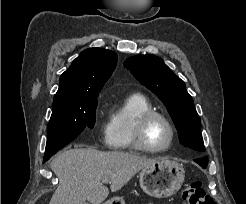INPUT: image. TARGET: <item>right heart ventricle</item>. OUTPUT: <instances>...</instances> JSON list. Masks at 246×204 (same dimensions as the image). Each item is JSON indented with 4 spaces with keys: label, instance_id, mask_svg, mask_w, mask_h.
I'll list each match as a JSON object with an SVG mask.
<instances>
[{
    "label": "right heart ventricle",
    "instance_id": "right-heart-ventricle-1",
    "mask_svg": "<svg viewBox=\"0 0 246 204\" xmlns=\"http://www.w3.org/2000/svg\"><path fill=\"white\" fill-rule=\"evenodd\" d=\"M153 110L150 100L142 94H132L112 108L105 128V144L112 150H134L133 132L137 119Z\"/></svg>",
    "mask_w": 246,
    "mask_h": 204
}]
</instances>
